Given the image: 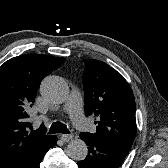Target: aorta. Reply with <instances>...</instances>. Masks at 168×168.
<instances>
[{
	"label": "aorta",
	"instance_id": "aorta-1",
	"mask_svg": "<svg viewBox=\"0 0 168 168\" xmlns=\"http://www.w3.org/2000/svg\"><path fill=\"white\" fill-rule=\"evenodd\" d=\"M42 97L51 104H62L69 95L67 83L58 76H47L40 85ZM88 154V147L81 139H74L67 146V155L76 161H82Z\"/></svg>",
	"mask_w": 168,
	"mask_h": 168
}]
</instances>
